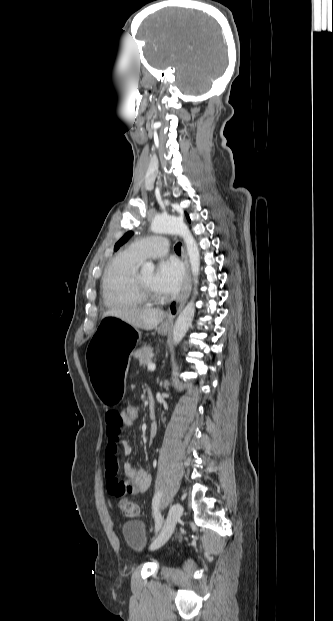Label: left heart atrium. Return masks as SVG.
I'll list each match as a JSON object with an SVG mask.
<instances>
[{
    "label": "left heart atrium",
    "instance_id": "39dd6f15",
    "mask_svg": "<svg viewBox=\"0 0 333 621\" xmlns=\"http://www.w3.org/2000/svg\"><path fill=\"white\" fill-rule=\"evenodd\" d=\"M184 270L176 260L162 261L155 273L154 284L163 294H174L183 284Z\"/></svg>",
    "mask_w": 333,
    "mask_h": 621
}]
</instances>
